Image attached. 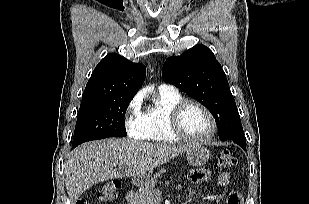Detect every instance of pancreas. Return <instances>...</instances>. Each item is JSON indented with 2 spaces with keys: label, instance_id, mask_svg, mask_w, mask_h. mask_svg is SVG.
<instances>
[{
  "label": "pancreas",
  "instance_id": "obj_1",
  "mask_svg": "<svg viewBox=\"0 0 309 204\" xmlns=\"http://www.w3.org/2000/svg\"><path fill=\"white\" fill-rule=\"evenodd\" d=\"M166 172V169H160L157 173L153 175V177H150L146 182H144L140 186V190L136 193H134L135 199L140 204H152V192L154 190V187L157 183V179L160 175L164 174Z\"/></svg>",
  "mask_w": 309,
  "mask_h": 204
}]
</instances>
